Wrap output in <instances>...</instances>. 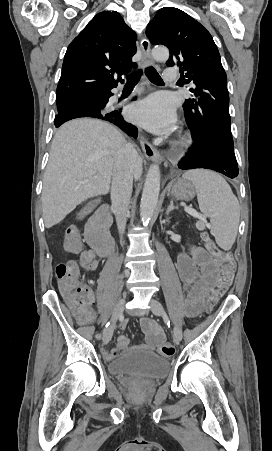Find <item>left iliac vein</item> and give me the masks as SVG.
Returning <instances> with one entry per match:
<instances>
[{
	"label": "left iliac vein",
	"instance_id": "4c4485c4",
	"mask_svg": "<svg viewBox=\"0 0 272 451\" xmlns=\"http://www.w3.org/2000/svg\"><path fill=\"white\" fill-rule=\"evenodd\" d=\"M150 305H151V311L156 316H164L163 308H162L161 304L158 301H156L155 299H151ZM173 334H174L175 342L179 343L182 340V331H181V329L179 327L175 326L174 330H173Z\"/></svg>",
	"mask_w": 272,
	"mask_h": 451
}]
</instances>
